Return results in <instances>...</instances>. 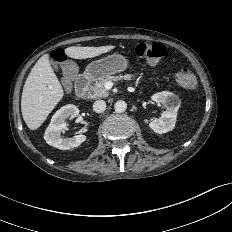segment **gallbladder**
I'll list each match as a JSON object with an SVG mask.
<instances>
[{
    "label": "gallbladder",
    "mask_w": 232,
    "mask_h": 232,
    "mask_svg": "<svg viewBox=\"0 0 232 232\" xmlns=\"http://www.w3.org/2000/svg\"><path fill=\"white\" fill-rule=\"evenodd\" d=\"M50 63L53 65L54 68H56V64L53 60H50Z\"/></svg>",
    "instance_id": "gallbladder-1"
}]
</instances>
